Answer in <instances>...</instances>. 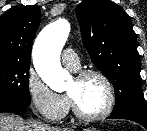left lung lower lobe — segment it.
Returning <instances> with one entry per match:
<instances>
[{
  "label": "left lung lower lobe",
  "mask_w": 147,
  "mask_h": 131,
  "mask_svg": "<svg viewBox=\"0 0 147 131\" xmlns=\"http://www.w3.org/2000/svg\"><path fill=\"white\" fill-rule=\"evenodd\" d=\"M108 118L131 120V121L141 124L147 129V116L146 115L135 114V113H124V114H118V115H110Z\"/></svg>",
  "instance_id": "0a47b994"
}]
</instances>
